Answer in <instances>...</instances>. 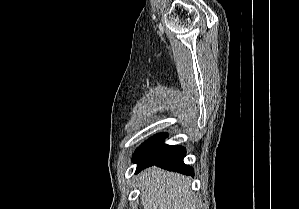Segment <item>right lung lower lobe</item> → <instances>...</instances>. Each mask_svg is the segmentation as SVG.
<instances>
[{
	"label": "right lung lower lobe",
	"instance_id": "98d812e1",
	"mask_svg": "<svg viewBox=\"0 0 299 209\" xmlns=\"http://www.w3.org/2000/svg\"><path fill=\"white\" fill-rule=\"evenodd\" d=\"M167 134L160 133L145 141L134 153L133 161L137 163L136 173L156 165L169 171H175L184 175H194V170L184 164L183 158L186 150L182 146L166 145L163 143Z\"/></svg>",
	"mask_w": 299,
	"mask_h": 209
}]
</instances>
